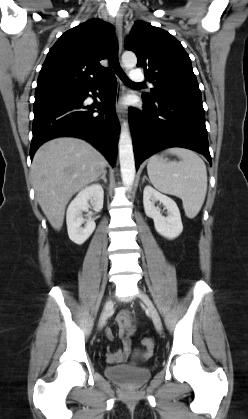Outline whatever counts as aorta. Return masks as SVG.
Wrapping results in <instances>:
<instances>
[{
  "label": "aorta",
  "mask_w": 248,
  "mask_h": 419,
  "mask_svg": "<svg viewBox=\"0 0 248 419\" xmlns=\"http://www.w3.org/2000/svg\"><path fill=\"white\" fill-rule=\"evenodd\" d=\"M137 64V57L133 52H124L122 55V65L127 69L135 67ZM119 161L121 177L125 187L131 188L135 178V160L132 146V139L128 129L127 123L121 126L119 138Z\"/></svg>",
  "instance_id": "1"
}]
</instances>
